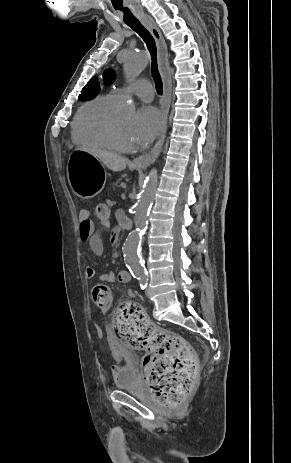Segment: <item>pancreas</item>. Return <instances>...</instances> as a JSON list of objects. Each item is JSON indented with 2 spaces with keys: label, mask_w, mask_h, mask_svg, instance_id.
<instances>
[{
  "label": "pancreas",
  "mask_w": 291,
  "mask_h": 463,
  "mask_svg": "<svg viewBox=\"0 0 291 463\" xmlns=\"http://www.w3.org/2000/svg\"><path fill=\"white\" fill-rule=\"evenodd\" d=\"M121 187H122L121 181L117 180L116 182H113V183L109 184L108 191H109V193H111L113 195L119 196V194L121 193Z\"/></svg>",
  "instance_id": "obj_1"
}]
</instances>
